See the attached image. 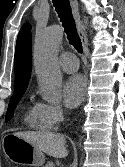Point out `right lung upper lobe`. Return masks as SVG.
<instances>
[{
  "mask_svg": "<svg viewBox=\"0 0 125 167\" xmlns=\"http://www.w3.org/2000/svg\"><path fill=\"white\" fill-rule=\"evenodd\" d=\"M31 26L26 23L22 26L16 42L14 67L15 90L26 89L30 80L31 61Z\"/></svg>",
  "mask_w": 125,
  "mask_h": 167,
  "instance_id": "cb5924a9",
  "label": "right lung upper lobe"
}]
</instances>
